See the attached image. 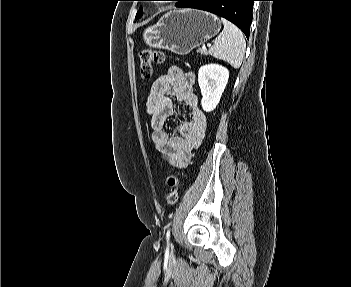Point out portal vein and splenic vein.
Listing matches in <instances>:
<instances>
[{
	"label": "portal vein and splenic vein",
	"mask_w": 351,
	"mask_h": 287,
	"mask_svg": "<svg viewBox=\"0 0 351 287\" xmlns=\"http://www.w3.org/2000/svg\"><path fill=\"white\" fill-rule=\"evenodd\" d=\"M208 47L211 46L210 44L207 45ZM203 49H205V46H203Z\"/></svg>",
	"instance_id": "18ae733b"
}]
</instances>
